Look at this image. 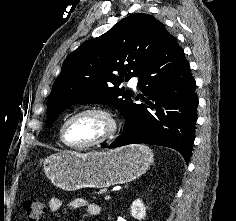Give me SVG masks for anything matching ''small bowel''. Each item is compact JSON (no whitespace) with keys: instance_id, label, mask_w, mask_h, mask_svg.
<instances>
[{"instance_id":"1","label":"small bowel","mask_w":236,"mask_h":221,"mask_svg":"<svg viewBox=\"0 0 236 221\" xmlns=\"http://www.w3.org/2000/svg\"><path fill=\"white\" fill-rule=\"evenodd\" d=\"M69 208L71 209H85L87 214L90 216H98L101 213V207L94 202H89L85 198H74L69 204ZM64 207V201L60 197H52L49 200V209L52 212H58ZM64 221V220H62Z\"/></svg>"}]
</instances>
